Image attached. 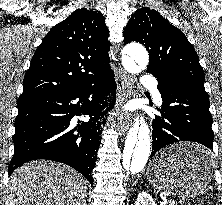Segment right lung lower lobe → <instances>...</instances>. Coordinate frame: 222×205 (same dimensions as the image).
Here are the masks:
<instances>
[{"label": "right lung lower lobe", "mask_w": 222, "mask_h": 205, "mask_svg": "<svg viewBox=\"0 0 222 205\" xmlns=\"http://www.w3.org/2000/svg\"><path fill=\"white\" fill-rule=\"evenodd\" d=\"M115 97L114 73L109 72L69 92L19 98L9 175L25 162L47 159L73 167L92 184L102 132L97 119L113 107ZM75 114L90 120L74 127Z\"/></svg>", "instance_id": "right-lung-lower-lobe-1"}]
</instances>
